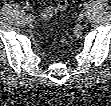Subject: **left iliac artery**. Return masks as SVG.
I'll use <instances>...</instances> for the list:
<instances>
[{"mask_svg":"<svg viewBox=\"0 0 111 106\" xmlns=\"http://www.w3.org/2000/svg\"><path fill=\"white\" fill-rule=\"evenodd\" d=\"M83 5H84V7H87V6H88V3L85 2Z\"/></svg>","mask_w":111,"mask_h":106,"instance_id":"1","label":"left iliac artery"}]
</instances>
